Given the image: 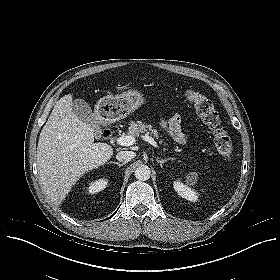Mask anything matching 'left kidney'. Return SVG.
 <instances>
[{
    "instance_id": "obj_1",
    "label": "left kidney",
    "mask_w": 280,
    "mask_h": 280,
    "mask_svg": "<svg viewBox=\"0 0 280 280\" xmlns=\"http://www.w3.org/2000/svg\"><path fill=\"white\" fill-rule=\"evenodd\" d=\"M174 190L184 199L195 202L198 200V193L189 187L188 185L182 183L180 180L173 182Z\"/></svg>"
}]
</instances>
